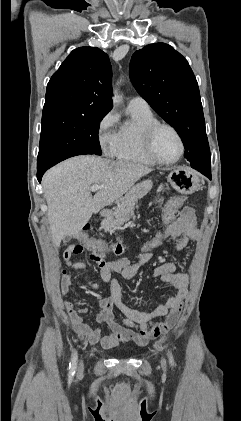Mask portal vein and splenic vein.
Instances as JSON below:
<instances>
[{
  "label": "portal vein and splenic vein",
  "mask_w": 241,
  "mask_h": 421,
  "mask_svg": "<svg viewBox=\"0 0 241 421\" xmlns=\"http://www.w3.org/2000/svg\"><path fill=\"white\" fill-rule=\"evenodd\" d=\"M98 189H100V186H99V185H92V186L90 187V191H91V192H96Z\"/></svg>",
  "instance_id": "18ae733b"
}]
</instances>
